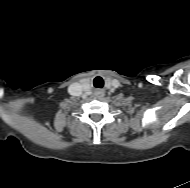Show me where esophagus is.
I'll return each mask as SVG.
<instances>
[{
    "label": "esophagus",
    "instance_id": "esophagus-1",
    "mask_svg": "<svg viewBox=\"0 0 190 188\" xmlns=\"http://www.w3.org/2000/svg\"><path fill=\"white\" fill-rule=\"evenodd\" d=\"M97 94L101 97V96L104 95V92L100 90V91L97 92Z\"/></svg>",
    "mask_w": 190,
    "mask_h": 188
}]
</instances>
